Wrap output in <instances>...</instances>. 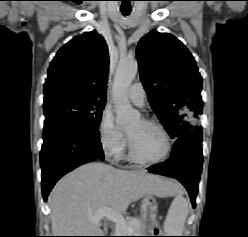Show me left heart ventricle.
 <instances>
[{
	"mask_svg": "<svg viewBox=\"0 0 248 237\" xmlns=\"http://www.w3.org/2000/svg\"><path fill=\"white\" fill-rule=\"evenodd\" d=\"M127 134L137 152L144 158H159L166 150L163 135L156 128L145 125L141 120L136 121L127 130Z\"/></svg>",
	"mask_w": 248,
	"mask_h": 237,
	"instance_id": "left-heart-ventricle-1",
	"label": "left heart ventricle"
}]
</instances>
